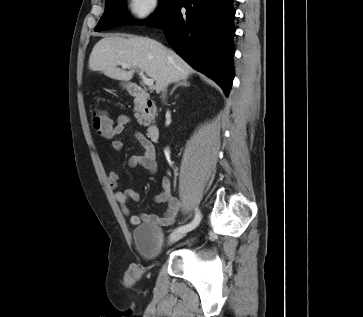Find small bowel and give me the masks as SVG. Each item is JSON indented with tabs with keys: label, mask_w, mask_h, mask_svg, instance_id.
I'll return each instance as SVG.
<instances>
[{
	"label": "small bowel",
	"mask_w": 363,
	"mask_h": 317,
	"mask_svg": "<svg viewBox=\"0 0 363 317\" xmlns=\"http://www.w3.org/2000/svg\"><path fill=\"white\" fill-rule=\"evenodd\" d=\"M130 124V119L126 115L118 117L115 125L111 124L109 130L104 131L101 135L107 139H111L112 149L116 152H120L123 149V142L117 137L122 134ZM136 140L143 147L144 152L141 155H134L129 157L128 166L131 168L141 166L148 170L151 174H155L158 169L156 161V150L154 143L142 132L135 133ZM108 183L112 189H115V197L120 204L122 211L129 217L132 224H139L141 219H144L150 223L169 226L172 225L180 211V201L173 195L171 191V180L168 176H163L161 181L162 191L155 195L154 201L157 203H166L167 209L163 216H157L154 214H143L142 216L130 214L128 203L130 201L138 202L140 200V194L135 189L118 190L119 186V174L117 171H111L108 176Z\"/></svg>",
	"instance_id": "small-bowel-1"
}]
</instances>
